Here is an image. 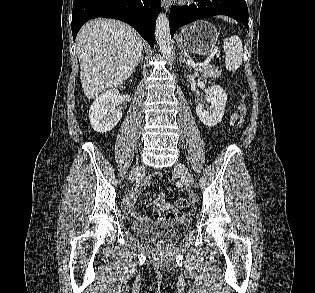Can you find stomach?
<instances>
[{"mask_svg":"<svg viewBox=\"0 0 315 293\" xmlns=\"http://www.w3.org/2000/svg\"><path fill=\"white\" fill-rule=\"evenodd\" d=\"M217 29L209 22L196 21L184 27L177 36L178 47L199 55L210 54L218 40Z\"/></svg>","mask_w":315,"mask_h":293,"instance_id":"1","label":"stomach"}]
</instances>
